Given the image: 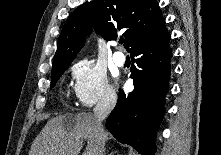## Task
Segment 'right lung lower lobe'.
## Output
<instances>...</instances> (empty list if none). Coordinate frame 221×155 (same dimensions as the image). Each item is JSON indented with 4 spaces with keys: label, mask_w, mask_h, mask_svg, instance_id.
I'll use <instances>...</instances> for the list:
<instances>
[{
    "label": "right lung lower lobe",
    "mask_w": 221,
    "mask_h": 155,
    "mask_svg": "<svg viewBox=\"0 0 221 155\" xmlns=\"http://www.w3.org/2000/svg\"><path fill=\"white\" fill-rule=\"evenodd\" d=\"M164 24L144 34L129 50L134 90L129 94L120 90L106 121V128L119 142L132 146L141 155L155 153V135L168 91L172 51Z\"/></svg>",
    "instance_id": "1"
}]
</instances>
